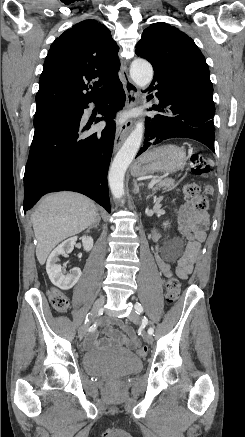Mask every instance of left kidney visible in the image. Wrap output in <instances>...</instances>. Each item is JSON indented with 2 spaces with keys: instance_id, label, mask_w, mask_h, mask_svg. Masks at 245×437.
<instances>
[{
  "instance_id": "left-kidney-1",
  "label": "left kidney",
  "mask_w": 245,
  "mask_h": 437,
  "mask_svg": "<svg viewBox=\"0 0 245 437\" xmlns=\"http://www.w3.org/2000/svg\"><path fill=\"white\" fill-rule=\"evenodd\" d=\"M163 225H164L165 227H167L168 223H167V222H165V223H163Z\"/></svg>"
}]
</instances>
